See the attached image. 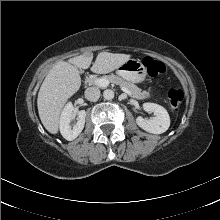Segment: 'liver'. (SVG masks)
I'll return each instance as SVG.
<instances>
[{"instance_id":"6515ba94","label":"liver","mask_w":220,"mask_h":220,"mask_svg":"<svg viewBox=\"0 0 220 220\" xmlns=\"http://www.w3.org/2000/svg\"><path fill=\"white\" fill-rule=\"evenodd\" d=\"M130 59L128 54L101 52L97 55L91 71L106 74L118 69ZM93 60L92 53H86L59 61L49 70L38 92L37 107L40 120L45 129L56 134L59 129L61 111L68 99L81 86L80 69H88Z\"/></svg>"}]
</instances>
